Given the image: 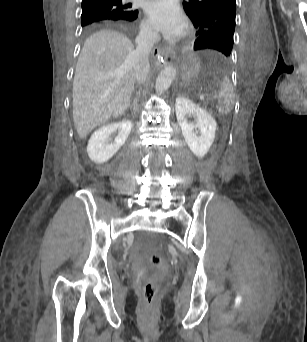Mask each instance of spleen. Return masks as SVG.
<instances>
[{"mask_svg": "<svg viewBox=\"0 0 307 342\" xmlns=\"http://www.w3.org/2000/svg\"><path fill=\"white\" fill-rule=\"evenodd\" d=\"M218 108L220 114H232L233 113V102H234V92L233 86L227 78L224 76L219 84V92L217 96Z\"/></svg>", "mask_w": 307, "mask_h": 342, "instance_id": "3e777b00", "label": "spleen"}]
</instances>
